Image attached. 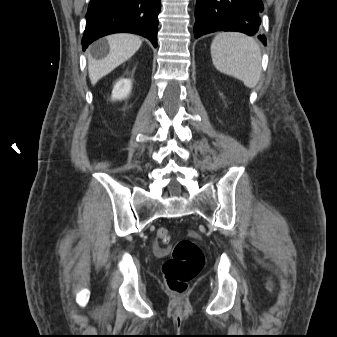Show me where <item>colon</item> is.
<instances>
[{
  "mask_svg": "<svg viewBox=\"0 0 337 337\" xmlns=\"http://www.w3.org/2000/svg\"><path fill=\"white\" fill-rule=\"evenodd\" d=\"M170 239L171 234L167 229H159L155 250L159 253L165 252ZM204 262V254L194 240H179L174 245L171 256L162 266L167 288L173 293L185 292L189 283L203 268Z\"/></svg>",
  "mask_w": 337,
  "mask_h": 337,
  "instance_id": "1",
  "label": "colon"
}]
</instances>
